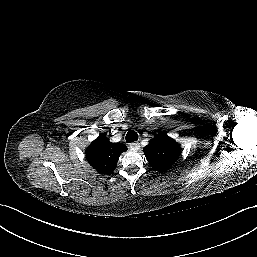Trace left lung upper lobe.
Segmentation results:
<instances>
[{
	"label": "left lung upper lobe",
	"mask_w": 257,
	"mask_h": 257,
	"mask_svg": "<svg viewBox=\"0 0 257 257\" xmlns=\"http://www.w3.org/2000/svg\"><path fill=\"white\" fill-rule=\"evenodd\" d=\"M180 151L179 144L165 133L156 135L144 148L148 162L159 172H163L172 166L176 162Z\"/></svg>",
	"instance_id": "left-lung-upper-lobe-1"
}]
</instances>
